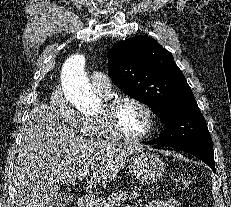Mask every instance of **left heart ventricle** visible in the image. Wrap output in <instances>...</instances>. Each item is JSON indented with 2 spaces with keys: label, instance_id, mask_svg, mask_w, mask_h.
<instances>
[{
  "label": "left heart ventricle",
  "instance_id": "left-heart-ventricle-1",
  "mask_svg": "<svg viewBox=\"0 0 231 207\" xmlns=\"http://www.w3.org/2000/svg\"><path fill=\"white\" fill-rule=\"evenodd\" d=\"M116 121L123 132L129 136L143 134L148 128L145 111L135 103H123L117 110Z\"/></svg>",
  "mask_w": 231,
  "mask_h": 207
}]
</instances>
